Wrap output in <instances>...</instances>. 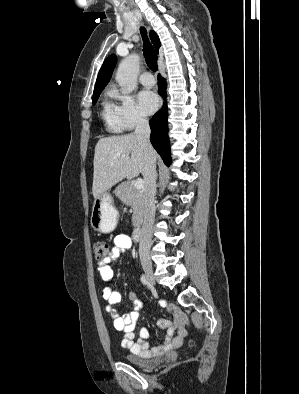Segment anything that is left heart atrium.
Returning a JSON list of instances; mask_svg holds the SVG:
<instances>
[{"label": "left heart atrium", "mask_w": 299, "mask_h": 394, "mask_svg": "<svg viewBox=\"0 0 299 394\" xmlns=\"http://www.w3.org/2000/svg\"><path fill=\"white\" fill-rule=\"evenodd\" d=\"M138 105L144 114H152L158 107V98L150 90H143L138 94Z\"/></svg>", "instance_id": "39dd6f15"}]
</instances>
